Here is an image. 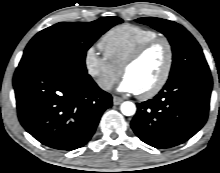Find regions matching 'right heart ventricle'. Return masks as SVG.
Instances as JSON below:
<instances>
[{
    "label": "right heart ventricle",
    "mask_w": 220,
    "mask_h": 173,
    "mask_svg": "<svg viewBox=\"0 0 220 173\" xmlns=\"http://www.w3.org/2000/svg\"><path fill=\"white\" fill-rule=\"evenodd\" d=\"M158 36L153 29L123 24L109 30L100 40L99 47L104 56L122 70L125 61L139 46Z\"/></svg>",
    "instance_id": "right-heart-ventricle-1"
}]
</instances>
